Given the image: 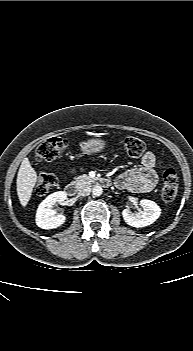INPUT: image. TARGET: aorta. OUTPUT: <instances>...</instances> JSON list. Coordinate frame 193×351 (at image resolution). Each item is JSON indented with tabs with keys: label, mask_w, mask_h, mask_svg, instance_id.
Listing matches in <instances>:
<instances>
[{
	"label": "aorta",
	"mask_w": 193,
	"mask_h": 351,
	"mask_svg": "<svg viewBox=\"0 0 193 351\" xmlns=\"http://www.w3.org/2000/svg\"><path fill=\"white\" fill-rule=\"evenodd\" d=\"M103 193V189L101 186H94L92 189V194L96 197L102 195Z\"/></svg>",
	"instance_id": "aorta-1"
}]
</instances>
